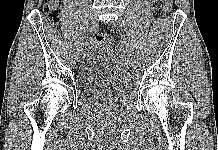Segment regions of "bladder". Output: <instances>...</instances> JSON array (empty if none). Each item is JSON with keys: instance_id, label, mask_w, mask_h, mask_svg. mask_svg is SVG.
I'll return each instance as SVG.
<instances>
[{"instance_id": "1", "label": "bladder", "mask_w": 218, "mask_h": 150, "mask_svg": "<svg viewBox=\"0 0 218 150\" xmlns=\"http://www.w3.org/2000/svg\"><path fill=\"white\" fill-rule=\"evenodd\" d=\"M120 76V69L109 49L94 47L79 71L81 87L88 93L105 92Z\"/></svg>"}]
</instances>
